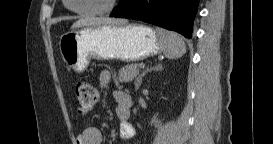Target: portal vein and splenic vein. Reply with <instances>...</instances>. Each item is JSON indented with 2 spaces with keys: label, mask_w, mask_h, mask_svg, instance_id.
Masks as SVG:
<instances>
[{
  "label": "portal vein and splenic vein",
  "mask_w": 273,
  "mask_h": 144,
  "mask_svg": "<svg viewBox=\"0 0 273 144\" xmlns=\"http://www.w3.org/2000/svg\"><path fill=\"white\" fill-rule=\"evenodd\" d=\"M145 67V64L144 63H141L140 65H139V68H144Z\"/></svg>",
  "instance_id": "18ae733b"
}]
</instances>
